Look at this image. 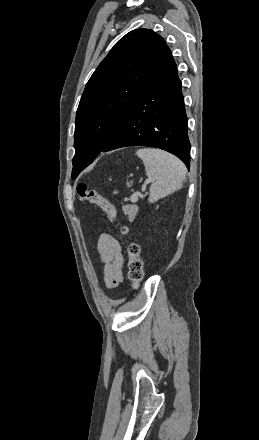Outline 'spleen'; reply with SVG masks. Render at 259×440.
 <instances>
[{"label":"spleen","mask_w":259,"mask_h":440,"mask_svg":"<svg viewBox=\"0 0 259 440\" xmlns=\"http://www.w3.org/2000/svg\"><path fill=\"white\" fill-rule=\"evenodd\" d=\"M152 181L149 202L153 203L183 187L186 167L177 157L160 149L143 148L136 152Z\"/></svg>","instance_id":"obj_1"}]
</instances>
